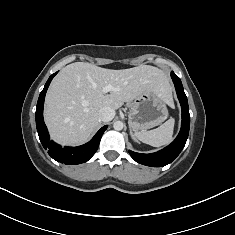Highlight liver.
Returning <instances> with one entry per match:
<instances>
[{"label": "liver", "mask_w": 235, "mask_h": 235, "mask_svg": "<svg viewBox=\"0 0 235 235\" xmlns=\"http://www.w3.org/2000/svg\"><path fill=\"white\" fill-rule=\"evenodd\" d=\"M112 85L109 94L103 88ZM147 91L172 104L167 75L150 65L112 70L87 62L64 67L52 81L45 98L44 119L51 138L62 145L85 143L98 128L102 107L119 109Z\"/></svg>", "instance_id": "6515ba94"}]
</instances>
